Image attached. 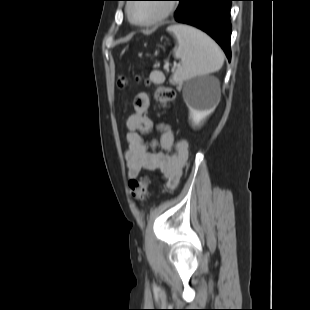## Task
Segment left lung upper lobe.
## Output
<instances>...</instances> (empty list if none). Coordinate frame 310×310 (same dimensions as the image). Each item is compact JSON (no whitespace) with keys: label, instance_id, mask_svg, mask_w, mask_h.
<instances>
[{"label":"left lung upper lobe","instance_id":"5c2ea615","mask_svg":"<svg viewBox=\"0 0 310 310\" xmlns=\"http://www.w3.org/2000/svg\"><path fill=\"white\" fill-rule=\"evenodd\" d=\"M178 1H180V4H179V7H178L177 11L175 12V15L181 11V9H182L183 5L185 4L186 0H178Z\"/></svg>","mask_w":310,"mask_h":310}]
</instances>
